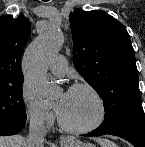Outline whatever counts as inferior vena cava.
Here are the masks:
<instances>
[{"label": "inferior vena cava", "instance_id": "1", "mask_svg": "<svg viewBox=\"0 0 145 147\" xmlns=\"http://www.w3.org/2000/svg\"><path fill=\"white\" fill-rule=\"evenodd\" d=\"M46 136V129L43 118L39 115H33L30 118L29 135L26 139V147H43Z\"/></svg>", "mask_w": 145, "mask_h": 147}]
</instances>
